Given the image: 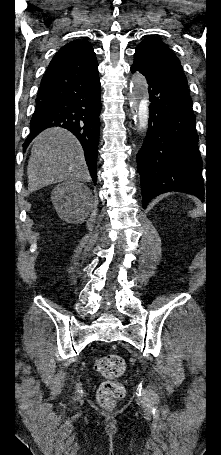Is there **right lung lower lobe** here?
<instances>
[{
  "label": "right lung lower lobe",
  "instance_id": "obj_1",
  "mask_svg": "<svg viewBox=\"0 0 221 455\" xmlns=\"http://www.w3.org/2000/svg\"><path fill=\"white\" fill-rule=\"evenodd\" d=\"M92 51L77 54L48 69L41 81L24 149L44 129L63 127L80 141L94 184L100 133L101 86Z\"/></svg>",
  "mask_w": 221,
  "mask_h": 455
}]
</instances>
